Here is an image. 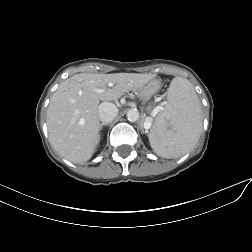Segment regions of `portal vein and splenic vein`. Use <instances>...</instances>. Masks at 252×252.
<instances>
[{"instance_id":"portal-vein-and-splenic-vein-1","label":"portal vein and splenic vein","mask_w":252,"mask_h":252,"mask_svg":"<svg viewBox=\"0 0 252 252\" xmlns=\"http://www.w3.org/2000/svg\"><path fill=\"white\" fill-rule=\"evenodd\" d=\"M98 92H103V90L102 89H98ZM161 108H159V107H157V108H155L152 112H151V116H155L156 114H157V112L160 110ZM151 117H146L145 118V123H144V126H145V128H150V126H151Z\"/></svg>"}]
</instances>
